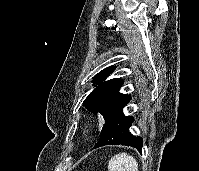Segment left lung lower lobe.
I'll return each instance as SVG.
<instances>
[{
	"label": "left lung lower lobe",
	"mask_w": 199,
	"mask_h": 171,
	"mask_svg": "<svg viewBox=\"0 0 199 171\" xmlns=\"http://www.w3.org/2000/svg\"><path fill=\"white\" fill-rule=\"evenodd\" d=\"M129 97L118 109L105 120V124L100 133V140L95 144L94 148L104 145H125L137 148L140 152L143 145V139L136 137L129 131L134 117L125 116L123 108L129 103Z\"/></svg>",
	"instance_id": "obj_1"
}]
</instances>
